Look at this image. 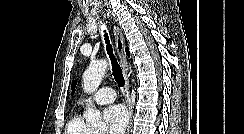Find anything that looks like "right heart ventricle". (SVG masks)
Here are the masks:
<instances>
[{
    "mask_svg": "<svg viewBox=\"0 0 244 134\" xmlns=\"http://www.w3.org/2000/svg\"><path fill=\"white\" fill-rule=\"evenodd\" d=\"M65 134H92L86 127L79 114L74 115L68 122Z\"/></svg>",
    "mask_w": 244,
    "mask_h": 134,
    "instance_id": "obj_1",
    "label": "right heart ventricle"
}]
</instances>
